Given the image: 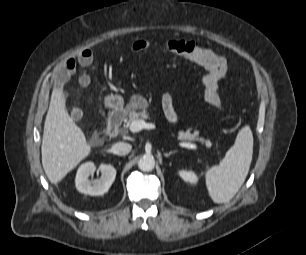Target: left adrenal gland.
I'll return each mask as SVG.
<instances>
[{"label": "left adrenal gland", "mask_w": 306, "mask_h": 255, "mask_svg": "<svg viewBox=\"0 0 306 255\" xmlns=\"http://www.w3.org/2000/svg\"><path fill=\"white\" fill-rule=\"evenodd\" d=\"M177 151L176 150H173V151H170L169 153H164L163 155L165 156V157H169V156H171L172 154H175Z\"/></svg>", "instance_id": "left-adrenal-gland-1"}]
</instances>
